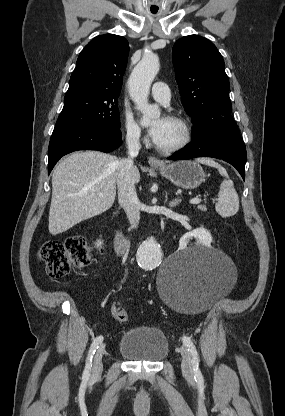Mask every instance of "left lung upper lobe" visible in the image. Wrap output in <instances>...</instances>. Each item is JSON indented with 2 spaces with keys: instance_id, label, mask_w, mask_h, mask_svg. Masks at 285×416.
Listing matches in <instances>:
<instances>
[{
  "instance_id": "5c2ea615",
  "label": "left lung upper lobe",
  "mask_w": 285,
  "mask_h": 416,
  "mask_svg": "<svg viewBox=\"0 0 285 416\" xmlns=\"http://www.w3.org/2000/svg\"><path fill=\"white\" fill-rule=\"evenodd\" d=\"M172 59L182 104L192 118V138L219 127L236 126L229 80L216 46L204 37L185 36L175 42Z\"/></svg>"
}]
</instances>
